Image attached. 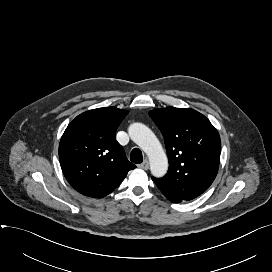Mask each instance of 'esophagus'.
Segmentation results:
<instances>
[{
	"mask_svg": "<svg viewBox=\"0 0 272 272\" xmlns=\"http://www.w3.org/2000/svg\"><path fill=\"white\" fill-rule=\"evenodd\" d=\"M139 168L143 170H147L149 168V162L145 159L141 164L138 165Z\"/></svg>",
	"mask_w": 272,
	"mask_h": 272,
	"instance_id": "1",
	"label": "esophagus"
}]
</instances>
